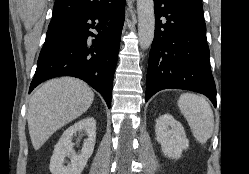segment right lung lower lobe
Returning <instances> with one entry per match:
<instances>
[{"instance_id": "right-lung-lower-lobe-1", "label": "right lung lower lobe", "mask_w": 249, "mask_h": 174, "mask_svg": "<svg viewBox=\"0 0 249 174\" xmlns=\"http://www.w3.org/2000/svg\"><path fill=\"white\" fill-rule=\"evenodd\" d=\"M124 17L125 0H116L104 9L49 26L29 93L45 80L73 76L97 90L110 108ZM89 36L95 39L90 41Z\"/></svg>"}]
</instances>
